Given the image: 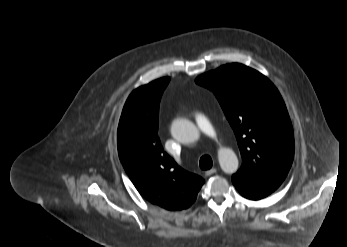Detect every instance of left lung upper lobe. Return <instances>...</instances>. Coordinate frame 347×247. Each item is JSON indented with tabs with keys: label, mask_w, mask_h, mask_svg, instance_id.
<instances>
[{
	"label": "left lung upper lobe",
	"mask_w": 347,
	"mask_h": 247,
	"mask_svg": "<svg viewBox=\"0 0 347 247\" xmlns=\"http://www.w3.org/2000/svg\"><path fill=\"white\" fill-rule=\"evenodd\" d=\"M196 82L213 91L234 130L242 156L236 175L282 183L293 161L294 136L286 106L272 82L238 63L205 73Z\"/></svg>",
	"instance_id": "left-lung-upper-lobe-1"
}]
</instances>
